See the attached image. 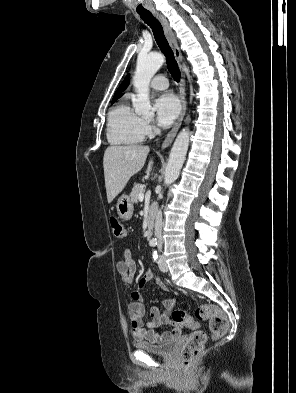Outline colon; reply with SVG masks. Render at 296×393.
I'll return each instance as SVG.
<instances>
[{
  "mask_svg": "<svg viewBox=\"0 0 296 393\" xmlns=\"http://www.w3.org/2000/svg\"><path fill=\"white\" fill-rule=\"evenodd\" d=\"M111 226L114 236L119 239H124L127 235L125 227L116 219H111ZM196 316L201 320H209L211 334L214 338L223 336L228 330V319L224 312L215 304L201 305L197 311ZM172 322L184 325L192 329L198 327L194 319L184 310L175 309L170 314ZM207 335L200 330H196L191 334L181 349V359L186 366H191L193 361L201 354Z\"/></svg>",
  "mask_w": 296,
  "mask_h": 393,
  "instance_id": "5ec220e1",
  "label": "colon"
}]
</instances>
